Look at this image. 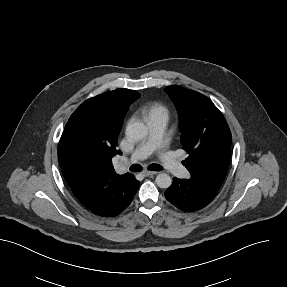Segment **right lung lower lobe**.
Returning <instances> with one entry per match:
<instances>
[{"instance_id":"obj_1","label":"right lung lower lobe","mask_w":287,"mask_h":287,"mask_svg":"<svg viewBox=\"0 0 287 287\" xmlns=\"http://www.w3.org/2000/svg\"><path fill=\"white\" fill-rule=\"evenodd\" d=\"M139 186L140 182L128 174L86 183L72 188V192L92 213L114 217L130 205Z\"/></svg>"}]
</instances>
